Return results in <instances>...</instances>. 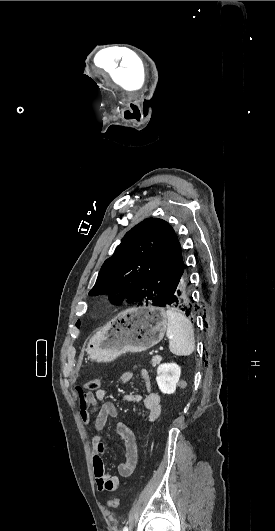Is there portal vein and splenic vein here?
<instances>
[{
	"mask_svg": "<svg viewBox=\"0 0 275 531\" xmlns=\"http://www.w3.org/2000/svg\"><path fill=\"white\" fill-rule=\"evenodd\" d=\"M169 342H172V339H169ZM160 350H163V347H160Z\"/></svg>",
	"mask_w": 275,
	"mask_h": 531,
	"instance_id": "portal-vein-and-splenic-vein-1",
	"label": "portal vein and splenic vein"
}]
</instances>
